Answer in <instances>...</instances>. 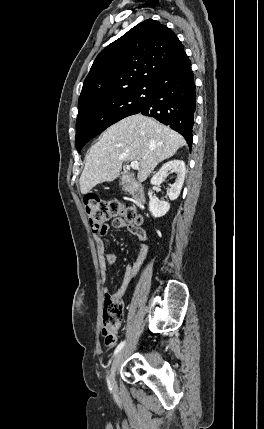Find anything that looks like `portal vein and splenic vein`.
<instances>
[{
    "mask_svg": "<svg viewBox=\"0 0 264 429\" xmlns=\"http://www.w3.org/2000/svg\"><path fill=\"white\" fill-rule=\"evenodd\" d=\"M130 166L134 170H139L140 169L138 161H132L131 164H130Z\"/></svg>",
    "mask_w": 264,
    "mask_h": 429,
    "instance_id": "18ae733b",
    "label": "portal vein and splenic vein"
}]
</instances>
